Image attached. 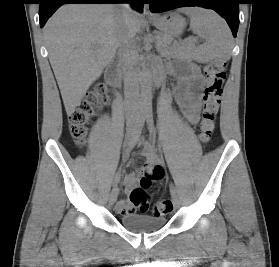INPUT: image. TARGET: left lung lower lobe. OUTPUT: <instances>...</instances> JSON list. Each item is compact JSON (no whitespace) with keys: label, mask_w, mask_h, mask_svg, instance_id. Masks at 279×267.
I'll return each instance as SVG.
<instances>
[{"label":"left lung lower lobe","mask_w":279,"mask_h":267,"mask_svg":"<svg viewBox=\"0 0 279 267\" xmlns=\"http://www.w3.org/2000/svg\"><path fill=\"white\" fill-rule=\"evenodd\" d=\"M152 12H162L178 7L202 6L217 11L227 21L236 37L239 26V0H149Z\"/></svg>","instance_id":"1"}]
</instances>
